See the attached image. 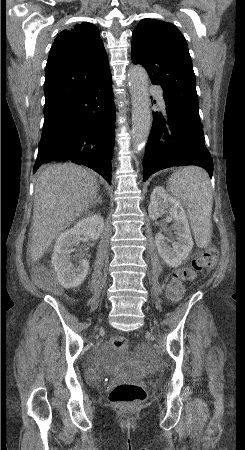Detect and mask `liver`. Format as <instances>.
<instances>
[{"label":"liver","mask_w":245,"mask_h":450,"mask_svg":"<svg viewBox=\"0 0 245 450\" xmlns=\"http://www.w3.org/2000/svg\"><path fill=\"white\" fill-rule=\"evenodd\" d=\"M97 180L72 163L42 167L35 182L30 256L38 261L61 231L69 227L94 202Z\"/></svg>","instance_id":"liver-1"}]
</instances>
